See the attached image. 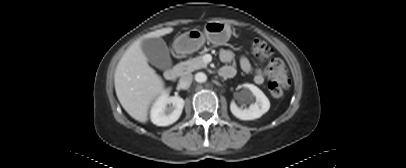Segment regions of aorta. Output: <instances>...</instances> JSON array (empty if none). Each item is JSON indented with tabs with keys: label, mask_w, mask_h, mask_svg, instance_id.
Listing matches in <instances>:
<instances>
[{
	"label": "aorta",
	"mask_w": 406,
	"mask_h": 168,
	"mask_svg": "<svg viewBox=\"0 0 406 168\" xmlns=\"http://www.w3.org/2000/svg\"><path fill=\"white\" fill-rule=\"evenodd\" d=\"M195 80L199 83H203L207 80V76L203 72H199L195 75Z\"/></svg>",
	"instance_id": "1"
}]
</instances>
